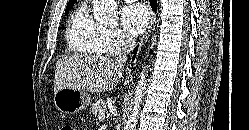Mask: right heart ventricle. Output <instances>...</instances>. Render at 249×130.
<instances>
[{
	"label": "right heart ventricle",
	"mask_w": 249,
	"mask_h": 130,
	"mask_svg": "<svg viewBox=\"0 0 249 130\" xmlns=\"http://www.w3.org/2000/svg\"><path fill=\"white\" fill-rule=\"evenodd\" d=\"M66 42L75 54L99 56L108 52L105 27L91 16L85 3L80 4L68 20Z\"/></svg>",
	"instance_id": "right-heart-ventricle-1"
}]
</instances>
